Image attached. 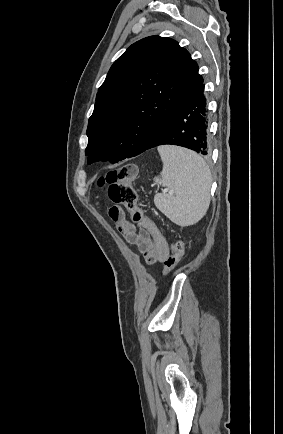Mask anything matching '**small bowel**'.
Listing matches in <instances>:
<instances>
[{
	"label": "small bowel",
	"instance_id": "small-bowel-1",
	"mask_svg": "<svg viewBox=\"0 0 283 434\" xmlns=\"http://www.w3.org/2000/svg\"><path fill=\"white\" fill-rule=\"evenodd\" d=\"M109 217L124 239L139 248L147 264L164 262L169 257L165 234L150 218L144 217L137 229L134 223L127 220L125 210L119 206L110 208Z\"/></svg>",
	"mask_w": 283,
	"mask_h": 434
}]
</instances>
